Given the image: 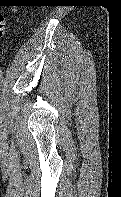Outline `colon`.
Wrapping results in <instances>:
<instances>
[{
  "label": "colon",
  "instance_id": "1",
  "mask_svg": "<svg viewBox=\"0 0 121 197\" xmlns=\"http://www.w3.org/2000/svg\"><path fill=\"white\" fill-rule=\"evenodd\" d=\"M6 17L5 15L0 12V38L4 35L5 30H6Z\"/></svg>",
  "mask_w": 121,
  "mask_h": 197
}]
</instances>
